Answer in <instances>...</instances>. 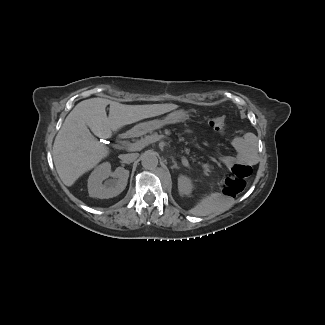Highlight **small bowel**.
Instances as JSON below:
<instances>
[{
  "label": "small bowel",
  "instance_id": "1",
  "mask_svg": "<svg viewBox=\"0 0 325 325\" xmlns=\"http://www.w3.org/2000/svg\"><path fill=\"white\" fill-rule=\"evenodd\" d=\"M237 155L239 156L240 160L243 162H248L250 160V157L247 155L246 150L241 146L237 148Z\"/></svg>",
  "mask_w": 325,
  "mask_h": 325
}]
</instances>
